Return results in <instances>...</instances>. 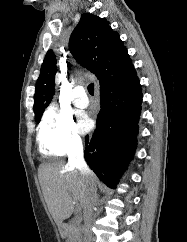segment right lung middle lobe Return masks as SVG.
Here are the masks:
<instances>
[{"instance_id":"dd1d6c3e","label":"right lung middle lobe","mask_w":187,"mask_h":242,"mask_svg":"<svg viewBox=\"0 0 187 242\" xmlns=\"http://www.w3.org/2000/svg\"><path fill=\"white\" fill-rule=\"evenodd\" d=\"M40 119H41V115L36 117V121H37V123L40 122Z\"/></svg>"}]
</instances>
